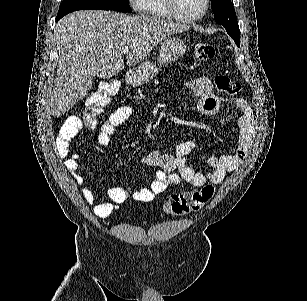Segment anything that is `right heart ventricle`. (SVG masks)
Listing matches in <instances>:
<instances>
[{
    "label": "right heart ventricle",
    "instance_id": "right-heart-ventricle-1",
    "mask_svg": "<svg viewBox=\"0 0 307 301\" xmlns=\"http://www.w3.org/2000/svg\"><path fill=\"white\" fill-rule=\"evenodd\" d=\"M165 0H140L136 1L139 6L136 8H148L152 12V17H171V10H163Z\"/></svg>",
    "mask_w": 307,
    "mask_h": 301
}]
</instances>
